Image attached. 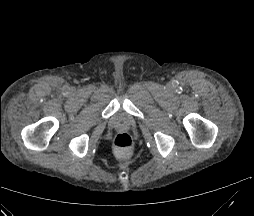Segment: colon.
<instances>
[{"label":"colon","mask_w":254,"mask_h":216,"mask_svg":"<svg viewBox=\"0 0 254 216\" xmlns=\"http://www.w3.org/2000/svg\"><path fill=\"white\" fill-rule=\"evenodd\" d=\"M114 146L118 152L125 154L129 152L133 146L132 138L125 132L119 133L115 138Z\"/></svg>","instance_id":"obj_1"}]
</instances>
